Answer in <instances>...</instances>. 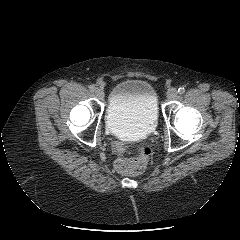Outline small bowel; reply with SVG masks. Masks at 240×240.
<instances>
[{"label":"small bowel","instance_id":"1","mask_svg":"<svg viewBox=\"0 0 240 240\" xmlns=\"http://www.w3.org/2000/svg\"><path fill=\"white\" fill-rule=\"evenodd\" d=\"M106 148H107V150L110 151V152L115 151V153L118 154V155H121V154H122V155H125V154H127L128 151H129V148H128L127 145H125V144H122V145H121V144H119V142L116 141V140H113V141L108 142L107 145H106Z\"/></svg>","mask_w":240,"mask_h":240}]
</instances>
